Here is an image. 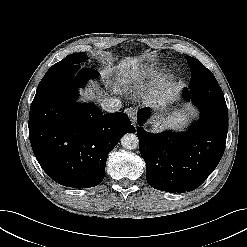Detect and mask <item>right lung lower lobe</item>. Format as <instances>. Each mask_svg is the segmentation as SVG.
I'll return each instance as SVG.
<instances>
[{"mask_svg": "<svg viewBox=\"0 0 247 247\" xmlns=\"http://www.w3.org/2000/svg\"><path fill=\"white\" fill-rule=\"evenodd\" d=\"M77 67L47 72L40 81L30 108L29 138L55 182L89 188L103 181L109 152L135 128L123 112L103 114L92 104L76 102L77 88L97 75Z\"/></svg>", "mask_w": 247, "mask_h": 247, "instance_id": "1", "label": "right lung lower lobe"}]
</instances>
